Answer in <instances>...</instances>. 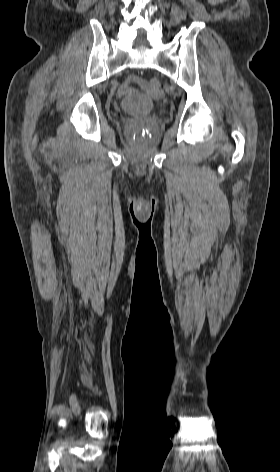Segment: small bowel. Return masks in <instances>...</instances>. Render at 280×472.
I'll return each instance as SVG.
<instances>
[{"label":"small bowel","mask_w":280,"mask_h":472,"mask_svg":"<svg viewBox=\"0 0 280 472\" xmlns=\"http://www.w3.org/2000/svg\"><path fill=\"white\" fill-rule=\"evenodd\" d=\"M132 84H138L141 87H148L147 82L135 75H130L127 77L126 81L123 83L121 87L122 93H129L132 91Z\"/></svg>","instance_id":"c3829d8e"}]
</instances>
